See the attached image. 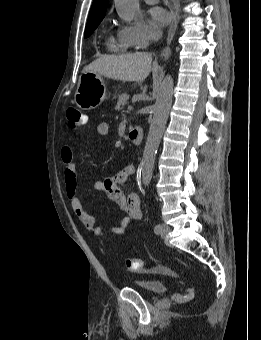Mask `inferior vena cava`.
Listing matches in <instances>:
<instances>
[{
	"instance_id": "inferior-vena-cava-1",
	"label": "inferior vena cava",
	"mask_w": 261,
	"mask_h": 340,
	"mask_svg": "<svg viewBox=\"0 0 261 340\" xmlns=\"http://www.w3.org/2000/svg\"><path fill=\"white\" fill-rule=\"evenodd\" d=\"M161 37V33H157V34H155L154 35V40H157V39H159Z\"/></svg>"
}]
</instances>
